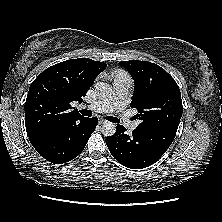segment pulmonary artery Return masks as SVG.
Returning <instances> with one entry per match:
<instances>
[{
  "mask_svg": "<svg viewBox=\"0 0 222 222\" xmlns=\"http://www.w3.org/2000/svg\"><path fill=\"white\" fill-rule=\"evenodd\" d=\"M132 85V80L130 76L126 73L120 72L116 75L113 82V90L111 94L105 99L93 102L86 107L94 112H117L122 117V122L127 126V128L133 131L138 122L131 121L124 118L123 110L128 102L129 90Z\"/></svg>",
  "mask_w": 222,
  "mask_h": 222,
  "instance_id": "obj_1",
  "label": "pulmonary artery"
}]
</instances>
